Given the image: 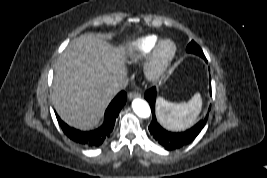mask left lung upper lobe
<instances>
[{
    "instance_id": "5c2ea615",
    "label": "left lung upper lobe",
    "mask_w": 267,
    "mask_h": 178,
    "mask_svg": "<svg viewBox=\"0 0 267 178\" xmlns=\"http://www.w3.org/2000/svg\"><path fill=\"white\" fill-rule=\"evenodd\" d=\"M187 52L188 53H193V54H196V55H199L200 57L205 58L201 48L194 42V41H191L188 46H187Z\"/></svg>"
}]
</instances>
